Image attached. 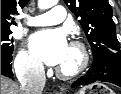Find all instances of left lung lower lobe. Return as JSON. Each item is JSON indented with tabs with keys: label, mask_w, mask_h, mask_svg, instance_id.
Returning <instances> with one entry per match:
<instances>
[{
	"label": "left lung lower lobe",
	"mask_w": 121,
	"mask_h": 94,
	"mask_svg": "<svg viewBox=\"0 0 121 94\" xmlns=\"http://www.w3.org/2000/svg\"><path fill=\"white\" fill-rule=\"evenodd\" d=\"M96 81L110 82L121 87V56L94 59L88 72L76 80L72 87L88 85Z\"/></svg>",
	"instance_id": "obj_1"
}]
</instances>
